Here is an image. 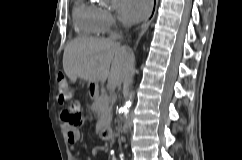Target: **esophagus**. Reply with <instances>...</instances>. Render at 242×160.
I'll use <instances>...</instances> for the list:
<instances>
[{
  "mask_svg": "<svg viewBox=\"0 0 242 160\" xmlns=\"http://www.w3.org/2000/svg\"><path fill=\"white\" fill-rule=\"evenodd\" d=\"M157 6H158V0H152L150 12L147 15L146 19L144 20V22L142 23V25L139 27L137 31L138 34H142L146 31V29L148 28V26L150 25V23L155 17Z\"/></svg>",
  "mask_w": 242,
  "mask_h": 160,
  "instance_id": "obj_1",
  "label": "esophagus"
}]
</instances>
